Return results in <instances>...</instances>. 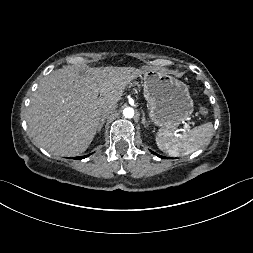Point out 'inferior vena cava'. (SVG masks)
Listing matches in <instances>:
<instances>
[{
  "mask_svg": "<svg viewBox=\"0 0 253 253\" xmlns=\"http://www.w3.org/2000/svg\"><path fill=\"white\" fill-rule=\"evenodd\" d=\"M116 107V104H110L105 106L101 111L102 117L108 116L112 111L116 109Z\"/></svg>",
  "mask_w": 253,
  "mask_h": 253,
  "instance_id": "602c4592",
  "label": "inferior vena cava"
}]
</instances>
